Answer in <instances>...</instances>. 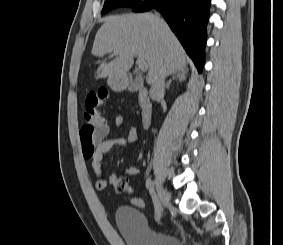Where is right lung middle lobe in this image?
Returning a JSON list of instances; mask_svg holds the SVG:
<instances>
[{
	"mask_svg": "<svg viewBox=\"0 0 283 245\" xmlns=\"http://www.w3.org/2000/svg\"><path fill=\"white\" fill-rule=\"evenodd\" d=\"M138 3L139 1L132 0H105L102 13H107L117 7H133Z\"/></svg>",
	"mask_w": 283,
	"mask_h": 245,
	"instance_id": "1",
	"label": "right lung middle lobe"
}]
</instances>
